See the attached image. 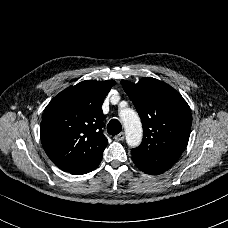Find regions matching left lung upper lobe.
Listing matches in <instances>:
<instances>
[{"label":"left lung upper lobe","instance_id":"1","mask_svg":"<svg viewBox=\"0 0 228 228\" xmlns=\"http://www.w3.org/2000/svg\"><path fill=\"white\" fill-rule=\"evenodd\" d=\"M143 126V140L132 149V160L160 171L170 169L185 150L192 124L184 98L168 84L151 77L138 83L122 80Z\"/></svg>","mask_w":228,"mask_h":228}]
</instances>
